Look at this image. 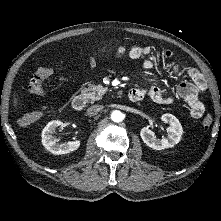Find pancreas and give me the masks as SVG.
Here are the masks:
<instances>
[{
    "label": "pancreas",
    "instance_id": "1",
    "mask_svg": "<svg viewBox=\"0 0 221 221\" xmlns=\"http://www.w3.org/2000/svg\"><path fill=\"white\" fill-rule=\"evenodd\" d=\"M107 88L102 85L90 84L87 88L81 91V96L88 102L93 103L100 100L104 93H106Z\"/></svg>",
    "mask_w": 221,
    "mask_h": 221
}]
</instances>
